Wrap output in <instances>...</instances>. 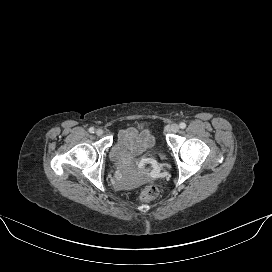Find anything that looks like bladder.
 I'll return each mask as SVG.
<instances>
[{
	"label": "bladder",
	"instance_id": "bladder-1",
	"mask_svg": "<svg viewBox=\"0 0 272 272\" xmlns=\"http://www.w3.org/2000/svg\"><path fill=\"white\" fill-rule=\"evenodd\" d=\"M110 160H111V162L114 163V164H117L118 161H119V160H118V157H117V154H116L115 148H113L112 151H111Z\"/></svg>",
	"mask_w": 272,
	"mask_h": 272
}]
</instances>
